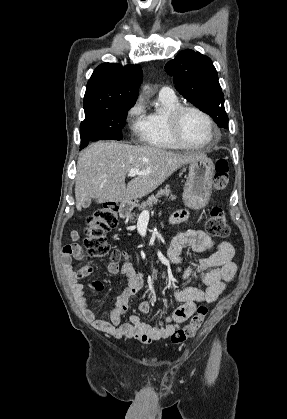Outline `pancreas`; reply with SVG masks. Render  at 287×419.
<instances>
[{
    "label": "pancreas",
    "mask_w": 287,
    "mask_h": 419,
    "mask_svg": "<svg viewBox=\"0 0 287 419\" xmlns=\"http://www.w3.org/2000/svg\"><path fill=\"white\" fill-rule=\"evenodd\" d=\"M162 196L169 197L171 200H176V196L171 193L170 186L166 185V187L164 189H160L156 195H151L146 201H143L141 204H137L136 206L139 210L151 208Z\"/></svg>",
    "instance_id": "pancreas-1"
}]
</instances>
